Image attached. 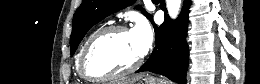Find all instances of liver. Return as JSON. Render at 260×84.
I'll use <instances>...</instances> for the list:
<instances>
[{
  "label": "liver",
  "instance_id": "6515ba94",
  "mask_svg": "<svg viewBox=\"0 0 260 84\" xmlns=\"http://www.w3.org/2000/svg\"><path fill=\"white\" fill-rule=\"evenodd\" d=\"M143 76V74H139L134 76L131 79H126L125 81H123V84H134L138 79H140Z\"/></svg>",
  "mask_w": 260,
  "mask_h": 84
}]
</instances>
